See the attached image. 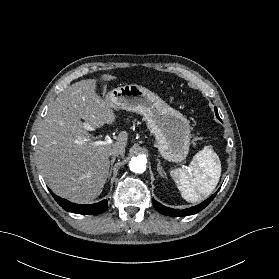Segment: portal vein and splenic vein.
Instances as JSON below:
<instances>
[{
    "instance_id": "obj_1",
    "label": "portal vein and splenic vein",
    "mask_w": 279,
    "mask_h": 279,
    "mask_svg": "<svg viewBox=\"0 0 279 279\" xmlns=\"http://www.w3.org/2000/svg\"><path fill=\"white\" fill-rule=\"evenodd\" d=\"M85 128L87 130H91V127L90 126H87L85 125ZM112 143V139L110 138V136H105V140L104 141H101V140H97V141H94L93 144L96 145V146H100V145H108V144H111Z\"/></svg>"
}]
</instances>
